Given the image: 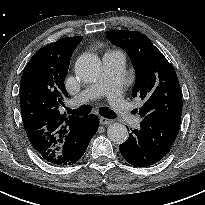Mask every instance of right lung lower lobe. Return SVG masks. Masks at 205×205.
<instances>
[{"label": "right lung lower lobe", "mask_w": 205, "mask_h": 205, "mask_svg": "<svg viewBox=\"0 0 205 205\" xmlns=\"http://www.w3.org/2000/svg\"><path fill=\"white\" fill-rule=\"evenodd\" d=\"M97 129L98 119L96 116L84 117L68 132L59 153L50 163L60 166L75 164L85 153Z\"/></svg>", "instance_id": "98d812e1"}]
</instances>
